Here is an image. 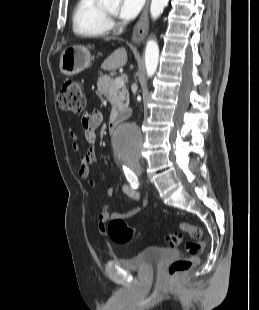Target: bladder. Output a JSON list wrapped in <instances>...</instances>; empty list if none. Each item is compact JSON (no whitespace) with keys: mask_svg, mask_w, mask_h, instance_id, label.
Masks as SVG:
<instances>
[{"mask_svg":"<svg viewBox=\"0 0 259 310\" xmlns=\"http://www.w3.org/2000/svg\"><path fill=\"white\" fill-rule=\"evenodd\" d=\"M177 256L178 253L174 249L149 247L132 258L118 259V263L128 270L149 269L165 260L175 259Z\"/></svg>","mask_w":259,"mask_h":310,"instance_id":"1","label":"bladder"}]
</instances>
